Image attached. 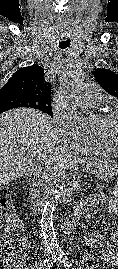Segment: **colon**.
<instances>
[{
  "label": "colon",
  "instance_id": "colon-1",
  "mask_svg": "<svg viewBox=\"0 0 118 269\" xmlns=\"http://www.w3.org/2000/svg\"><path fill=\"white\" fill-rule=\"evenodd\" d=\"M0 221L5 222L4 237L2 239V255L6 259L7 269H17L18 254L9 251L13 246L23 247L25 241L22 236V225L16 216L11 200L10 192L5 188H0Z\"/></svg>",
  "mask_w": 118,
  "mask_h": 269
}]
</instances>
